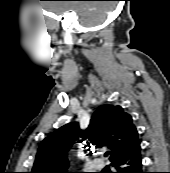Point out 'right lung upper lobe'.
Masks as SVG:
<instances>
[{"mask_svg":"<svg viewBox=\"0 0 170 173\" xmlns=\"http://www.w3.org/2000/svg\"><path fill=\"white\" fill-rule=\"evenodd\" d=\"M83 141L88 147L108 146L110 160L140 143L132 117L121 106L103 105L94 112L85 132L78 122H72L49 134L38 149L31 173H68V154L73 145Z\"/></svg>","mask_w":170,"mask_h":173,"instance_id":"obj_1","label":"right lung upper lobe"}]
</instances>
